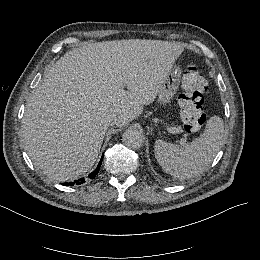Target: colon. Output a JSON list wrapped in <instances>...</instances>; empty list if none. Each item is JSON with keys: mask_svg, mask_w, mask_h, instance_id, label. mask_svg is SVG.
Here are the masks:
<instances>
[{"mask_svg": "<svg viewBox=\"0 0 260 260\" xmlns=\"http://www.w3.org/2000/svg\"><path fill=\"white\" fill-rule=\"evenodd\" d=\"M180 88L178 103L183 127L187 132H195L205 122L203 104L208 85L204 72L195 65L187 66L180 81Z\"/></svg>", "mask_w": 260, "mask_h": 260, "instance_id": "1", "label": "colon"}]
</instances>
